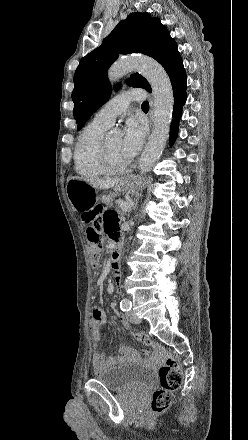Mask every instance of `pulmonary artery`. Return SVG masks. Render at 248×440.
<instances>
[{"label":"pulmonary artery","instance_id":"e3ab8cb5","mask_svg":"<svg viewBox=\"0 0 248 440\" xmlns=\"http://www.w3.org/2000/svg\"><path fill=\"white\" fill-rule=\"evenodd\" d=\"M145 92L139 88H133L113 97L96 114L94 120L109 127L115 118L125 112L131 101L142 100Z\"/></svg>","mask_w":248,"mask_h":440}]
</instances>
